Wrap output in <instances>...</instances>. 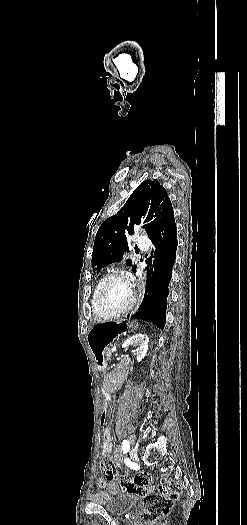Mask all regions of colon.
I'll return each instance as SVG.
<instances>
[{
  "label": "colon",
  "instance_id": "obj_1",
  "mask_svg": "<svg viewBox=\"0 0 247 525\" xmlns=\"http://www.w3.org/2000/svg\"><path fill=\"white\" fill-rule=\"evenodd\" d=\"M106 386V383H103ZM101 410L108 412L109 405L106 402L101 403ZM100 427L106 429L107 415H99ZM102 476L109 481H120L116 472V467L109 456H104L99 466ZM120 488L123 492L130 495H138L142 498L143 508L140 512V518L143 522L156 523L164 519L172 507L175 499L181 498L183 494L182 486L179 482L172 481H154L147 473H136L129 479L120 481Z\"/></svg>",
  "mask_w": 247,
  "mask_h": 525
}]
</instances>
